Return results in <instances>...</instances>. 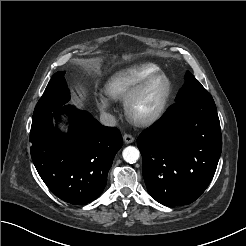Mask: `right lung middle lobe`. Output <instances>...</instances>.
Listing matches in <instances>:
<instances>
[{"label":"right lung middle lobe","instance_id":"obj_1","mask_svg":"<svg viewBox=\"0 0 246 246\" xmlns=\"http://www.w3.org/2000/svg\"><path fill=\"white\" fill-rule=\"evenodd\" d=\"M64 75L65 72H57L52 76L42 97L35 107L34 114L56 111L69 101L70 94Z\"/></svg>","mask_w":246,"mask_h":246}]
</instances>
